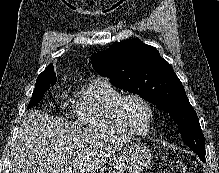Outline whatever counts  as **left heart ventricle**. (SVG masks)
I'll return each instance as SVG.
<instances>
[{
    "instance_id": "b2bd125f",
    "label": "left heart ventricle",
    "mask_w": 219,
    "mask_h": 173,
    "mask_svg": "<svg viewBox=\"0 0 219 173\" xmlns=\"http://www.w3.org/2000/svg\"><path fill=\"white\" fill-rule=\"evenodd\" d=\"M122 116L124 122L132 129L144 131L149 121L147 108L138 100L129 99L124 103Z\"/></svg>"
}]
</instances>
